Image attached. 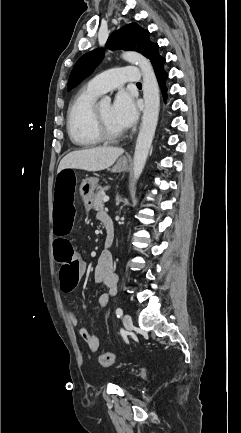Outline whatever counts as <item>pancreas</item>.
<instances>
[{
  "mask_svg": "<svg viewBox=\"0 0 241 433\" xmlns=\"http://www.w3.org/2000/svg\"><path fill=\"white\" fill-rule=\"evenodd\" d=\"M105 196V189H101L94 197L92 208L96 211L102 210L104 207L103 198Z\"/></svg>",
  "mask_w": 241,
  "mask_h": 433,
  "instance_id": "obj_1",
  "label": "pancreas"
}]
</instances>
